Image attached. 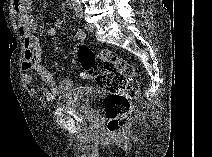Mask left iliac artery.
<instances>
[{
  "instance_id": "left-iliac-artery-1",
  "label": "left iliac artery",
  "mask_w": 212,
  "mask_h": 157,
  "mask_svg": "<svg viewBox=\"0 0 212 157\" xmlns=\"http://www.w3.org/2000/svg\"><path fill=\"white\" fill-rule=\"evenodd\" d=\"M78 17H82V15H78ZM76 37H77V39H79V40H82V39H84L85 38V33H84V31L82 30V29H78L77 30V33H76Z\"/></svg>"
}]
</instances>
